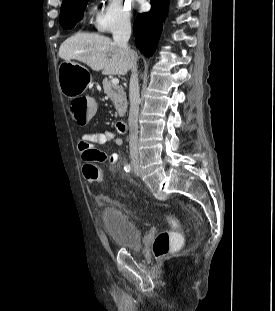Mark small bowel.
Here are the masks:
<instances>
[{"label":"small bowel","instance_id":"small-bowel-1","mask_svg":"<svg viewBox=\"0 0 275 311\" xmlns=\"http://www.w3.org/2000/svg\"><path fill=\"white\" fill-rule=\"evenodd\" d=\"M111 140L116 147L123 145V140L116 137L112 131L85 132L79 135L76 148L82 160L87 163L93 162L94 160H107L108 163L113 165L119 160L116 153L106 155L103 149L95 148L96 145H104Z\"/></svg>","mask_w":275,"mask_h":311}]
</instances>
